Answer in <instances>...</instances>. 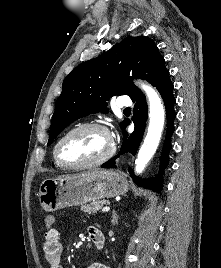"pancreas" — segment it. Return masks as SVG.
Returning a JSON list of instances; mask_svg holds the SVG:
<instances>
[{
    "instance_id": "1",
    "label": "pancreas",
    "mask_w": 221,
    "mask_h": 268,
    "mask_svg": "<svg viewBox=\"0 0 221 268\" xmlns=\"http://www.w3.org/2000/svg\"><path fill=\"white\" fill-rule=\"evenodd\" d=\"M108 202L106 200H98L91 204L82 205L81 210L89 214H97V211Z\"/></svg>"
}]
</instances>
